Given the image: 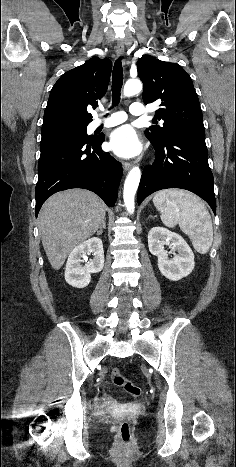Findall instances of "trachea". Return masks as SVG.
<instances>
[{"label": "trachea", "instance_id": "obj_1", "mask_svg": "<svg viewBox=\"0 0 236 467\" xmlns=\"http://www.w3.org/2000/svg\"><path fill=\"white\" fill-rule=\"evenodd\" d=\"M123 84V68L121 59L114 63L112 75V105L116 106L120 102L121 88Z\"/></svg>", "mask_w": 236, "mask_h": 467}]
</instances>
